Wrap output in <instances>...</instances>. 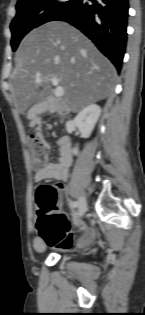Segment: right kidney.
<instances>
[{
  "label": "right kidney",
  "mask_w": 145,
  "mask_h": 315,
  "mask_svg": "<svg viewBox=\"0 0 145 315\" xmlns=\"http://www.w3.org/2000/svg\"><path fill=\"white\" fill-rule=\"evenodd\" d=\"M100 115L101 108L96 104L86 106L77 114L74 123L83 138H88L91 135ZM72 153L73 155H77L78 148H73Z\"/></svg>",
  "instance_id": "right-kidney-1"
}]
</instances>
